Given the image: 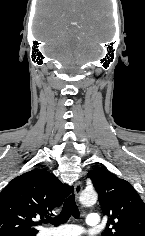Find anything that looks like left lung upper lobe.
Here are the masks:
<instances>
[{"label":"left lung upper lobe","mask_w":145,"mask_h":236,"mask_svg":"<svg viewBox=\"0 0 145 236\" xmlns=\"http://www.w3.org/2000/svg\"><path fill=\"white\" fill-rule=\"evenodd\" d=\"M108 216L102 236H145V203L131 184L103 168L88 172Z\"/></svg>","instance_id":"obj_1"}]
</instances>
